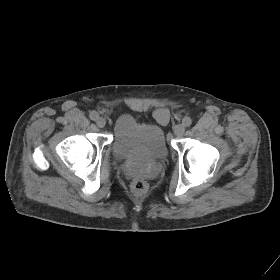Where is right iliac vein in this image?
Wrapping results in <instances>:
<instances>
[{
    "mask_svg": "<svg viewBox=\"0 0 280 280\" xmlns=\"http://www.w3.org/2000/svg\"><path fill=\"white\" fill-rule=\"evenodd\" d=\"M96 124L99 128H103L106 125V120L103 117H98Z\"/></svg>",
    "mask_w": 280,
    "mask_h": 280,
    "instance_id": "obj_1",
    "label": "right iliac vein"
}]
</instances>
